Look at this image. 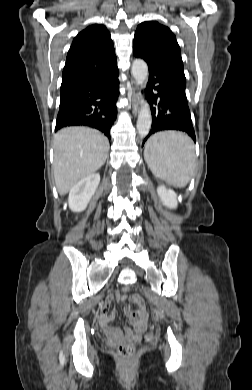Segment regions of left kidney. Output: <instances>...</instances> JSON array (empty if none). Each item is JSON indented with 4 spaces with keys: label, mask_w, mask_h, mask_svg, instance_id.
I'll use <instances>...</instances> for the list:
<instances>
[{
    "label": "left kidney",
    "mask_w": 252,
    "mask_h": 390,
    "mask_svg": "<svg viewBox=\"0 0 252 390\" xmlns=\"http://www.w3.org/2000/svg\"><path fill=\"white\" fill-rule=\"evenodd\" d=\"M157 192L165 206L171 209L177 207V196L174 191L167 189L163 185H160L157 189Z\"/></svg>",
    "instance_id": "5707ae66"
}]
</instances>
